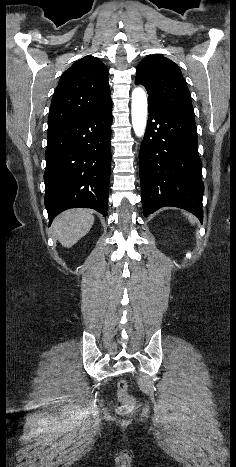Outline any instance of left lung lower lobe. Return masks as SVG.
I'll list each match as a JSON object with an SVG mask.
<instances>
[{
    "mask_svg": "<svg viewBox=\"0 0 236 467\" xmlns=\"http://www.w3.org/2000/svg\"><path fill=\"white\" fill-rule=\"evenodd\" d=\"M139 169L145 217L173 206L203 221L204 184L193 109L149 105Z\"/></svg>",
    "mask_w": 236,
    "mask_h": 467,
    "instance_id": "0a47b994",
    "label": "left lung lower lobe"
}]
</instances>
